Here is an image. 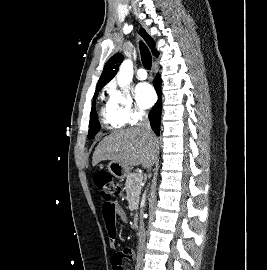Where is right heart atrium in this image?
<instances>
[{"mask_svg":"<svg viewBox=\"0 0 267 270\" xmlns=\"http://www.w3.org/2000/svg\"><path fill=\"white\" fill-rule=\"evenodd\" d=\"M107 93L114 114L125 124H136L145 116V112L135 105L129 91L119 88L115 82L107 86Z\"/></svg>","mask_w":267,"mask_h":270,"instance_id":"right-heart-atrium-1","label":"right heart atrium"}]
</instances>
